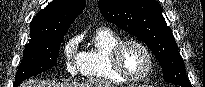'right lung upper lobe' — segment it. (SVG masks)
Wrapping results in <instances>:
<instances>
[{"instance_id": "right-lung-upper-lobe-1", "label": "right lung upper lobe", "mask_w": 205, "mask_h": 87, "mask_svg": "<svg viewBox=\"0 0 205 87\" xmlns=\"http://www.w3.org/2000/svg\"><path fill=\"white\" fill-rule=\"evenodd\" d=\"M85 0H53L32 19L31 39L66 34L71 23L83 11Z\"/></svg>"}]
</instances>
